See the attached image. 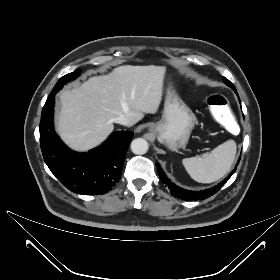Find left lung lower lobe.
<instances>
[{
	"label": "left lung lower lobe",
	"instance_id": "1",
	"mask_svg": "<svg viewBox=\"0 0 280 280\" xmlns=\"http://www.w3.org/2000/svg\"><path fill=\"white\" fill-rule=\"evenodd\" d=\"M240 160V158H239ZM238 160V163H239ZM238 163L236 165H238ZM157 169H158V174L160 176V179L163 184H165L166 187L170 189V192L172 195L176 198H179L181 200H201L208 198L215 194L223 185L224 183L234 174L236 167L232 172L225 178L221 183H219L217 186H214L210 189L207 190H201V191H190V190H185L182 189L178 186H176L174 183L170 182L164 172L162 171L161 167L159 166L158 163H156Z\"/></svg>",
	"mask_w": 280,
	"mask_h": 280
}]
</instances>
